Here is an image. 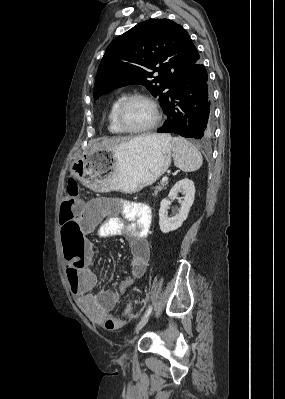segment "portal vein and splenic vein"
Returning <instances> with one entry per match:
<instances>
[{"instance_id":"1","label":"portal vein and splenic vein","mask_w":285,"mask_h":399,"mask_svg":"<svg viewBox=\"0 0 285 399\" xmlns=\"http://www.w3.org/2000/svg\"><path fill=\"white\" fill-rule=\"evenodd\" d=\"M167 181H168V177H167V176H165V177L162 178V182H163V183H165V182H167Z\"/></svg>"}]
</instances>
